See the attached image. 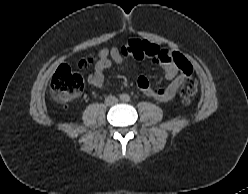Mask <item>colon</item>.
I'll list each match as a JSON object with an SVG mask.
<instances>
[{
    "instance_id": "colon-1",
    "label": "colon",
    "mask_w": 248,
    "mask_h": 194,
    "mask_svg": "<svg viewBox=\"0 0 248 194\" xmlns=\"http://www.w3.org/2000/svg\"><path fill=\"white\" fill-rule=\"evenodd\" d=\"M156 52L155 46L147 41H132V55L135 58L152 56ZM180 59V55L177 54ZM95 62L93 57H88L80 62L81 67H88ZM186 73H191V66L186 67ZM84 88L82 75L68 65H61L55 71L50 82V93L52 99L59 104L66 103L76 97ZM198 85L195 79L188 78L180 90L182 104L189 105L194 100Z\"/></svg>"
}]
</instances>
